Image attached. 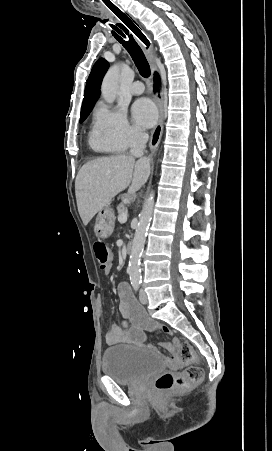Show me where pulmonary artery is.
<instances>
[{
  "label": "pulmonary artery",
  "mask_w": 272,
  "mask_h": 451,
  "mask_svg": "<svg viewBox=\"0 0 272 451\" xmlns=\"http://www.w3.org/2000/svg\"><path fill=\"white\" fill-rule=\"evenodd\" d=\"M142 81L139 79L134 80L133 86L129 88V93L132 95H140L142 94L144 87L142 85Z\"/></svg>",
  "instance_id": "1"
}]
</instances>
